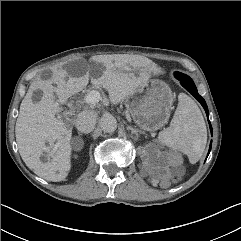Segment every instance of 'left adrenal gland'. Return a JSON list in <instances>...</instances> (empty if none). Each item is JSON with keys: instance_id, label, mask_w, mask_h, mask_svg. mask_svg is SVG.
I'll list each match as a JSON object with an SVG mask.
<instances>
[{"instance_id": "1", "label": "left adrenal gland", "mask_w": 241, "mask_h": 241, "mask_svg": "<svg viewBox=\"0 0 241 241\" xmlns=\"http://www.w3.org/2000/svg\"><path fill=\"white\" fill-rule=\"evenodd\" d=\"M127 129H128V130H131V133H132V134H135L134 139L137 140V139H138V133H139V131H138L137 129L131 127V126H127Z\"/></svg>"}]
</instances>
